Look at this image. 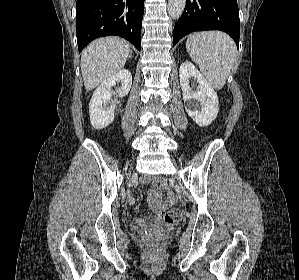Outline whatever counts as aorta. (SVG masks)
<instances>
[{
    "mask_svg": "<svg viewBox=\"0 0 299 280\" xmlns=\"http://www.w3.org/2000/svg\"><path fill=\"white\" fill-rule=\"evenodd\" d=\"M186 0H168V13L173 19H178L185 8Z\"/></svg>",
    "mask_w": 299,
    "mask_h": 280,
    "instance_id": "1",
    "label": "aorta"
}]
</instances>
